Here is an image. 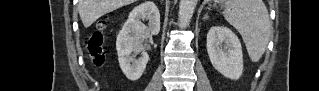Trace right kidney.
Returning a JSON list of instances; mask_svg holds the SVG:
<instances>
[{"label": "right kidney", "instance_id": "obj_1", "mask_svg": "<svg viewBox=\"0 0 319 91\" xmlns=\"http://www.w3.org/2000/svg\"><path fill=\"white\" fill-rule=\"evenodd\" d=\"M142 20H148V26L143 24ZM159 31L160 13L152 1H145L130 12L116 40L120 68L129 80H138L149 60V55L146 52H142V56L138 60L131 56L132 52L143 51L142 42L144 39L150 34L157 35Z\"/></svg>", "mask_w": 319, "mask_h": 91}]
</instances>
